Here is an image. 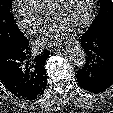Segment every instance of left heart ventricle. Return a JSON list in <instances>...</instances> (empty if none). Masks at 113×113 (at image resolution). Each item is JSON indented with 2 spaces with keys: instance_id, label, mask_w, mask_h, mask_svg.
I'll list each match as a JSON object with an SVG mask.
<instances>
[{
  "instance_id": "b2bd125f",
  "label": "left heart ventricle",
  "mask_w": 113,
  "mask_h": 113,
  "mask_svg": "<svg viewBox=\"0 0 113 113\" xmlns=\"http://www.w3.org/2000/svg\"><path fill=\"white\" fill-rule=\"evenodd\" d=\"M88 2L89 0H61L51 19L74 28L84 19L88 9Z\"/></svg>"
}]
</instances>
